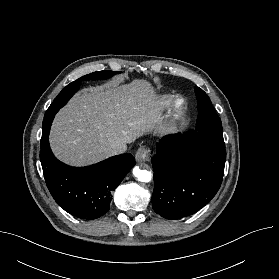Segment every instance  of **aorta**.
Instances as JSON below:
<instances>
[{"mask_svg":"<svg viewBox=\"0 0 279 279\" xmlns=\"http://www.w3.org/2000/svg\"><path fill=\"white\" fill-rule=\"evenodd\" d=\"M133 175L140 182H150L152 178V174L148 170H142L138 166L133 168Z\"/></svg>","mask_w":279,"mask_h":279,"instance_id":"aorta-1","label":"aorta"}]
</instances>
